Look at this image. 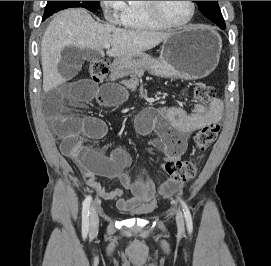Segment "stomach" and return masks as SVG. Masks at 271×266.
Instances as JSON below:
<instances>
[{
  "label": "stomach",
  "instance_id": "stomach-1",
  "mask_svg": "<svg viewBox=\"0 0 271 266\" xmlns=\"http://www.w3.org/2000/svg\"><path fill=\"white\" fill-rule=\"evenodd\" d=\"M221 48L222 40L216 31L207 26H189L163 41L158 59L141 52L119 57L116 62L124 71L147 66L168 77L196 80L217 67Z\"/></svg>",
  "mask_w": 271,
  "mask_h": 266
}]
</instances>
